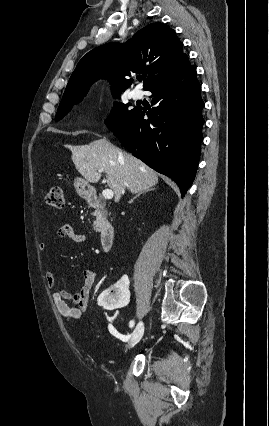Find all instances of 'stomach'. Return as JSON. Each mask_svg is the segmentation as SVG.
I'll return each instance as SVG.
<instances>
[{
    "instance_id": "1",
    "label": "stomach",
    "mask_w": 269,
    "mask_h": 426,
    "mask_svg": "<svg viewBox=\"0 0 269 426\" xmlns=\"http://www.w3.org/2000/svg\"><path fill=\"white\" fill-rule=\"evenodd\" d=\"M76 192L83 198H88L94 191V188L84 179L76 178L74 180Z\"/></svg>"
}]
</instances>
